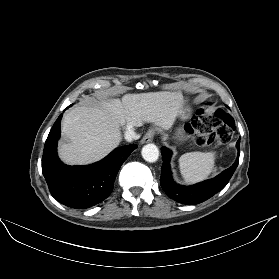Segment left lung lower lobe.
I'll return each instance as SVG.
<instances>
[{"instance_id": "left-lung-lower-lobe-1", "label": "left lung lower lobe", "mask_w": 279, "mask_h": 279, "mask_svg": "<svg viewBox=\"0 0 279 279\" xmlns=\"http://www.w3.org/2000/svg\"><path fill=\"white\" fill-rule=\"evenodd\" d=\"M186 127H189V125H186ZM239 144L240 140H238L236 144L238 156L231 167L224 170L213 179H209L191 186H182L173 181L169 164L172 153L168 148L162 147L161 152L163 164L161 167L160 184L163 190L170 198L179 203L187 205L198 204L209 199L227 185L234 171L236 170L239 163Z\"/></svg>"}]
</instances>
